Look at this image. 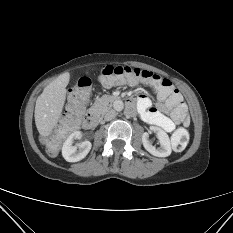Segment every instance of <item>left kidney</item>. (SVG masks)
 I'll return each mask as SVG.
<instances>
[{
    "label": "left kidney",
    "mask_w": 233,
    "mask_h": 233,
    "mask_svg": "<svg viewBox=\"0 0 233 233\" xmlns=\"http://www.w3.org/2000/svg\"><path fill=\"white\" fill-rule=\"evenodd\" d=\"M150 130L154 132L159 140L160 147L156 148L149 141V134L147 132L142 135V143L144 148L152 155L157 157H167L171 154V143L168 134L159 127L151 126Z\"/></svg>",
    "instance_id": "obj_1"
}]
</instances>
